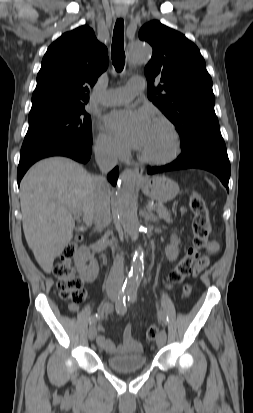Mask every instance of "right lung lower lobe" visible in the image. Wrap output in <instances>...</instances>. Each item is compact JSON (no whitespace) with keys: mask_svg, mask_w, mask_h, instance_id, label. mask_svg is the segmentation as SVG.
Segmentation results:
<instances>
[{"mask_svg":"<svg viewBox=\"0 0 253 413\" xmlns=\"http://www.w3.org/2000/svg\"><path fill=\"white\" fill-rule=\"evenodd\" d=\"M91 146L92 144L60 143L21 153L17 171L18 185L28 168L36 161L50 156H66L78 162L86 163L91 157ZM118 175L117 167L108 174V180L112 185H116Z\"/></svg>","mask_w":253,"mask_h":413,"instance_id":"1","label":"right lung lower lobe"}]
</instances>
